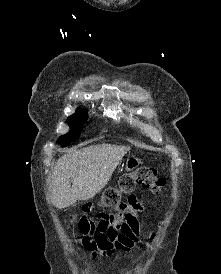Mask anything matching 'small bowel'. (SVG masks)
<instances>
[{"instance_id":"c3829d8e","label":"small bowel","mask_w":221,"mask_h":274,"mask_svg":"<svg viewBox=\"0 0 221 274\" xmlns=\"http://www.w3.org/2000/svg\"><path fill=\"white\" fill-rule=\"evenodd\" d=\"M144 209L142 200L136 195H130L127 201L110 211L82 216L78 228L83 247L94 258L97 256L110 258L118 251L126 253L135 251L141 242L140 213Z\"/></svg>"}]
</instances>
